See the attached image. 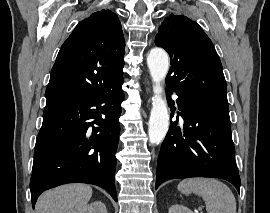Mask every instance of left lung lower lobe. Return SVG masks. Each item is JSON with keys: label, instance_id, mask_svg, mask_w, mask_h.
Wrapping results in <instances>:
<instances>
[{"label": "left lung lower lobe", "instance_id": "left-lung-lower-lobe-1", "mask_svg": "<svg viewBox=\"0 0 270 213\" xmlns=\"http://www.w3.org/2000/svg\"><path fill=\"white\" fill-rule=\"evenodd\" d=\"M166 91L170 103L173 90ZM174 92L184 132L177 122L170 123L158 157L156 188L175 178L212 177L227 180L240 191L229 107Z\"/></svg>", "mask_w": 270, "mask_h": 213}]
</instances>
